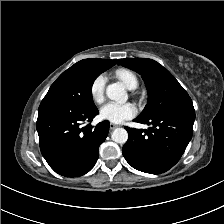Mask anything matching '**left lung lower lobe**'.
Returning a JSON list of instances; mask_svg holds the SVG:
<instances>
[{
	"label": "left lung lower lobe",
	"mask_w": 224,
	"mask_h": 224,
	"mask_svg": "<svg viewBox=\"0 0 224 224\" xmlns=\"http://www.w3.org/2000/svg\"><path fill=\"white\" fill-rule=\"evenodd\" d=\"M193 105L175 107L152 118L134 121L153 126L149 130L128 128L129 138L123 146L126 161L135 169L160 174L181 158L193 134Z\"/></svg>",
	"instance_id": "left-lung-lower-lobe-1"
}]
</instances>
